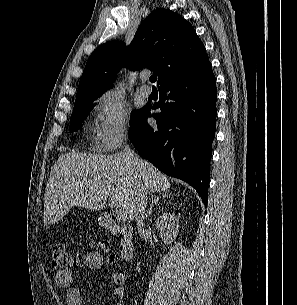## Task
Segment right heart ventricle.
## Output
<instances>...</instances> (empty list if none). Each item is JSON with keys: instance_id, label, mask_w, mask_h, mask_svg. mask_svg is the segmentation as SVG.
Segmentation results:
<instances>
[{"instance_id": "1", "label": "right heart ventricle", "mask_w": 297, "mask_h": 305, "mask_svg": "<svg viewBox=\"0 0 297 305\" xmlns=\"http://www.w3.org/2000/svg\"><path fill=\"white\" fill-rule=\"evenodd\" d=\"M92 140H93V141H95V140H97V141H98V139H97V138H96V139H94V138H93Z\"/></svg>"}]
</instances>
